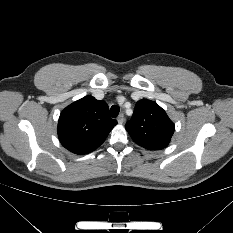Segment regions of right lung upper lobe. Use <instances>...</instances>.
<instances>
[{
  "instance_id": "cb5924a9",
  "label": "right lung upper lobe",
  "mask_w": 233,
  "mask_h": 233,
  "mask_svg": "<svg viewBox=\"0 0 233 233\" xmlns=\"http://www.w3.org/2000/svg\"><path fill=\"white\" fill-rule=\"evenodd\" d=\"M116 124L109 116L106 102L85 96L62 111L58 136L67 150L84 155L98 148Z\"/></svg>"
}]
</instances>
